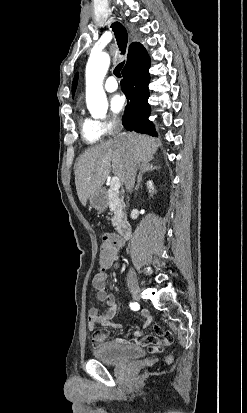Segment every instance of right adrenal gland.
I'll return each mask as SVG.
<instances>
[{
  "label": "right adrenal gland",
  "mask_w": 247,
  "mask_h": 413,
  "mask_svg": "<svg viewBox=\"0 0 247 413\" xmlns=\"http://www.w3.org/2000/svg\"><path fill=\"white\" fill-rule=\"evenodd\" d=\"M150 160H152V158H149V160H143L142 166L140 168V172H138L137 184L135 186V190H138L144 172H149V170H154V168H160V166H154V164H152Z\"/></svg>",
  "instance_id": "1"
}]
</instances>
